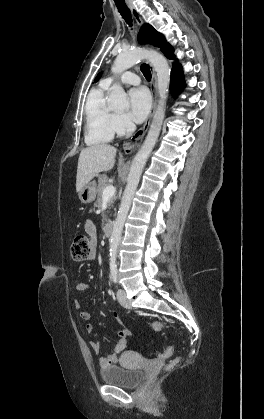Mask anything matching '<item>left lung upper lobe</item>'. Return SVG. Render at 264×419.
<instances>
[{
  "instance_id": "1",
  "label": "left lung upper lobe",
  "mask_w": 264,
  "mask_h": 419,
  "mask_svg": "<svg viewBox=\"0 0 264 419\" xmlns=\"http://www.w3.org/2000/svg\"><path fill=\"white\" fill-rule=\"evenodd\" d=\"M139 43H150L154 46L161 47L163 53L169 52L172 47L166 42L164 36L157 32L151 25L144 24L138 34Z\"/></svg>"
}]
</instances>
